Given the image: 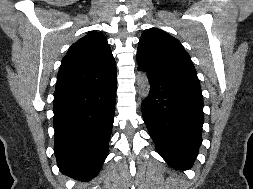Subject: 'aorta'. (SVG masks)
I'll use <instances>...</instances> for the list:
<instances>
[{"mask_svg":"<svg viewBox=\"0 0 253 189\" xmlns=\"http://www.w3.org/2000/svg\"><path fill=\"white\" fill-rule=\"evenodd\" d=\"M137 85L140 97L145 99L149 95L150 82L148 76L144 72H139L137 75Z\"/></svg>","mask_w":253,"mask_h":189,"instance_id":"762f6f07","label":"aorta"}]
</instances>
